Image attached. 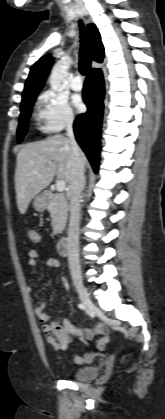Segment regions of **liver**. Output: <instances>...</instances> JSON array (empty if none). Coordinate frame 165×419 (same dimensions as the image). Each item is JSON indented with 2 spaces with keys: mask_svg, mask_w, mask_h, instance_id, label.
<instances>
[{
  "mask_svg": "<svg viewBox=\"0 0 165 419\" xmlns=\"http://www.w3.org/2000/svg\"><path fill=\"white\" fill-rule=\"evenodd\" d=\"M82 153V161L87 158ZM71 142L62 135L26 144L17 154L15 171V190L19 212L24 214L32 198L46 188L56 176L70 183L71 177ZM37 170V173H33Z\"/></svg>",
  "mask_w": 165,
  "mask_h": 419,
  "instance_id": "obj_1",
  "label": "liver"
}]
</instances>
